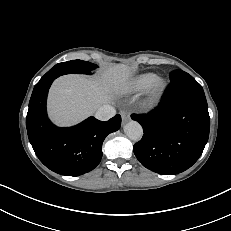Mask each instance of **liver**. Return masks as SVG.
<instances>
[{
  "instance_id": "6515ba94",
  "label": "liver",
  "mask_w": 231,
  "mask_h": 231,
  "mask_svg": "<svg viewBox=\"0 0 231 231\" xmlns=\"http://www.w3.org/2000/svg\"><path fill=\"white\" fill-rule=\"evenodd\" d=\"M132 68L117 64L101 77L70 74L56 79L48 97L50 118L60 126L76 124L130 86Z\"/></svg>"
}]
</instances>
